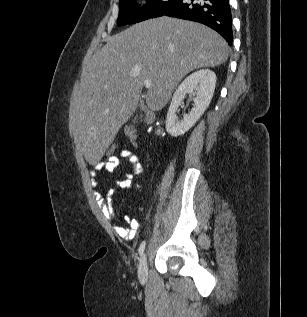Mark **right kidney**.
Wrapping results in <instances>:
<instances>
[{"label":"right kidney","mask_w":307,"mask_h":317,"mask_svg":"<svg viewBox=\"0 0 307 317\" xmlns=\"http://www.w3.org/2000/svg\"><path fill=\"white\" fill-rule=\"evenodd\" d=\"M216 75L209 69H202L189 75L176 89L166 117V130L178 137L186 133L205 112L209 106L215 90ZM186 94H195L194 107L191 111L178 120L176 115Z\"/></svg>","instance_id":"ca27d5eb"}]
</instances>
